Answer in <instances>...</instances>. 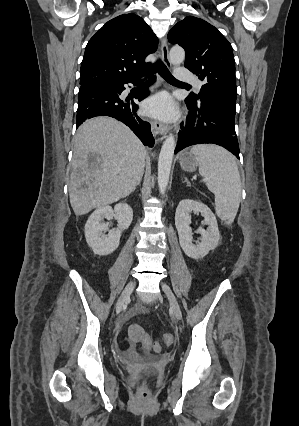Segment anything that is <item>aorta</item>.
<instances>
[{
	"instance_id": "1",
	"label": "aorta",
	"mask_w": 299,
	"mask_h": 426,
	"mask_svg": "<svg viewBox=\"0 0 299 426\" xmlns=\"http://www.w3.org/2000/svg\"><path fill=\"white\" fill-rule=\"evenodd\" d=\"M185 59V51L180 46H173L169 53V61L173 65H180ZM176 140L174 135L170 134L163 142L158 159V187L163 196L169 182L170 170L173 161Z\"/></svg>"
}]
</instances>
